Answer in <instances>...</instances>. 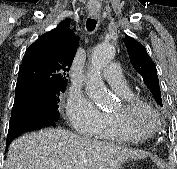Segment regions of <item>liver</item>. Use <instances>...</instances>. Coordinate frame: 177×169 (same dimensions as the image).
<instances>
[{
    "mask_svg": "<svg viewBox=\"0 0 177 169\" xmlns=\"http://www.w3.org/2000/svg\"><path fill=\"white\" fill-rule=\"evenodd\" d=\"M144 157L134 150L48 128L14 140L5 169H120L127 160Z\"/></svg>",
    "mask_w": 177,
    "mask_h": 169,
    "instance_id": "liver-1",
    "label": "liver"
}]
</instances>
